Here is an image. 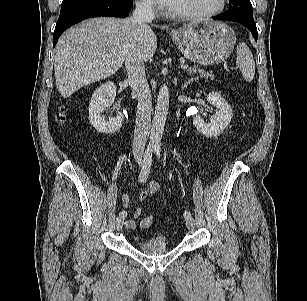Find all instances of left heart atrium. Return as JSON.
Listing matches in <instances>:
<instances>
[{
	"instance_id": "obj_1",
	"label": "left heart atrium",
	"mask_w": 307,
	"mask_h": 301,
	"mask_svg": "<svg viewBox=\"0 0 307 301\" xmlns=\"http://www.w3.org/2000/svg\"><path fill=\"white\" fill-rule=\"evenodd\" d=\"M157 2V4L162 7V8H169L171 7V5L173 4L174 0H155Z\"/></svg>"
}]
</instances>
